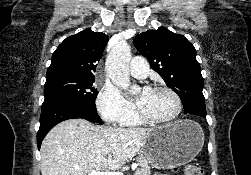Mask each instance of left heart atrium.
<instances>
[{
	"instance_id": "1",
	"label": "left heart atrium",
	"mask_w": 251,
	"mask_h": 175,
	"mask_svg": "<svg viewBox=\"0 0 251 175\" xmlns=\"http://www.w3.org/2000/svg\"><path fill=\"white\" fill-rule=\"evenodd\" d=\"M144 92H145V97L147 98V97L149 96L150 92H151V89L146 88V89L144 90Z\"/></svg>"
}]
</instances>
